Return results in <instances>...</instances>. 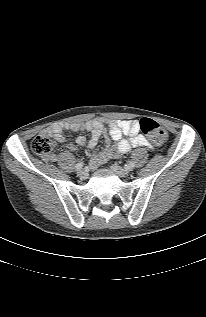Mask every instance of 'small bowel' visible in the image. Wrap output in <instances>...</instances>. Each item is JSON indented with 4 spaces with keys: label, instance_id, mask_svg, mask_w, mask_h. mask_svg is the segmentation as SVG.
<instances>
[{
    "label": "small bowel",
    "instance_id": "obj_1",
    "mask_svg": "<svg viewBox=\"0 0 206 317\" xmlns=\"http://www.w3.org/2000/svg\"><path fill=\"white\" fill-rule=\"evenodd\" d=\"M68 128L72 131H88L90 137L83 135L78 136L76 143L80 146L95 148L99 139L106 135L105 121L102 118H96L88 122L71 123ZM140 126L136 120H114L108 123V134L116 141L115 149L107 148L103 152L96 154L91 159V165L96 166L110 157H120L135 147H147L153 149V144L142 134L139 133ZM55 140L62 142L65 140V134L61 127L55 126L44 131ZM127 136L128 138H124ZM67 148L71 151L75 149V145L69 143ZM52 160L55 158L52 157Z\"/></svg>",
    "mask_w": 206,
    "mask_h": 317
}]
</instances>
